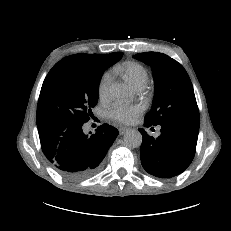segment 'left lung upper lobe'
<instances>
[{
  "instance_id": "5c2ea615",
  "label": "left lung upper lobe",
  "mask_w": 231,
  "mask_h": 231,
  "mask_svg": "<svg viewBox=\"0 0 231 231\" xmlns=\"http://www.w3.org/2000/svg\"><path fill=\"white\" fill-rule=\"evenodd\" d=\"M152 68L155 97L145 121L153 126L169 123L200 124L191 80L184 67L168 55L145 52L133 56Z\"/></svg>"
}]
</instances>
